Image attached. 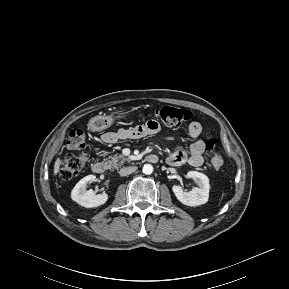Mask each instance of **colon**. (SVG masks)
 Wrapping results in <instances>:
<instances>
[{"mask_svg": "<svg viewBox=\"0 0 289 289\" xmlns=\"http://www.w3.org/2000/svg\"><path fill=\"white\" fill-rule=\"evenodd\" d=\"M153 121H161L168 126H179L191 119L192 113L188 110L162 107L157 108L149 113ZM69 150H81L79 154H69L62 162L60 176L63 180L68 181L79 175L84 169L88 154L83 151L85 148V133L81 129L71 130L66 142ZM208 148L211 152V164L214 168H220L223 165V157L217 151V142L215 138L208 140Z\"/></svg>", "mask_w": 289, "mask_h": 289, "instance_id": "colon-1", "label": "colon"}]
</instances>
